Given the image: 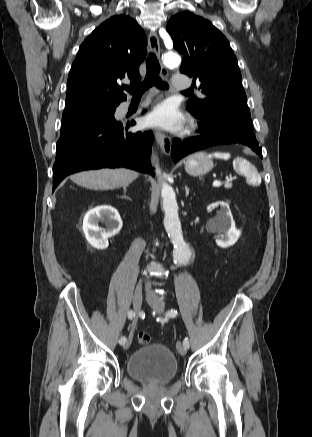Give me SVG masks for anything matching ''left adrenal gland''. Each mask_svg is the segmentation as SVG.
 Instances as JSON below:
<instances>
[{
	"instance_id": "a2214340",
	"label": "left adrenal gland",
	"mask_w": 312,
	"mask_h": 437,
	"mask_svg": "<svg viewBox=\"0 0 312 437\" xmlns=\"http://www.w3.org/2000/svg\"><path fill=\"white\" fill-rule=\"evenodd\" d=\"M186 197L189 195V188L185 185Z\"/></svg>"
}]
</instances>
